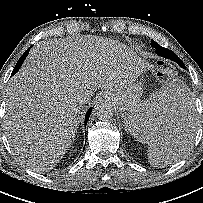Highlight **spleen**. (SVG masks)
Returning a JSON list of instances; mask_svg holds the SVG:
<instances>
[{"instance_id":"obj_1","label":"spleen","mask_w":203,"mask_h":203,"mask_svg":"<svg viewBox=\"0 0 203 203\" xmlns=\"http://www.w3.org/2000/svg\"><path fill=\"white\" fill-rule=\"evenodd\" d=\"M166 85L149 100L141 103L130 116L129 124L130 133L138 141L148 144V160L157 167L171 165L185 155L192 146L195 130V107L190 89L180 81ZM166 113H173L186 121L188 132L180 139L170 138L159 144L154 133ZM145 137L149 140H145Z\"/></svg>"}]
</instances>
